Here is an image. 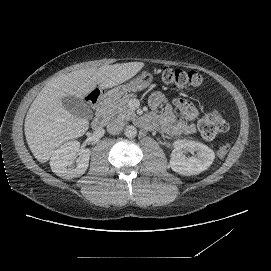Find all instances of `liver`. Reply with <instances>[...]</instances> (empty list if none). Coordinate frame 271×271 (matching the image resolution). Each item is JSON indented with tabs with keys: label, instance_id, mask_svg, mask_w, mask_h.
Here are the masks:
<instances>
[{
	"label": "liver",
	"instance_id": "obj_1",
	"mask_svg": "<svg viewBox=\"0 0 271 271\" xmlns=\"http://www.w3.org/2000/svg\"><path fill=\"white\" fill-rule=\"evenodd\" d=\"M143 67V62L87 67L49 80L33 100L24 123L26 141L34 157L45 163L55 149L88 130L86 118L73 116L64 108V97L84 99L97 85L102 89L120 85Z\"/></svg>",
	"mask_w": 271,
	"mask_h": 271
}]
</instances>
